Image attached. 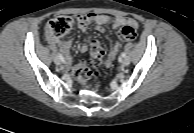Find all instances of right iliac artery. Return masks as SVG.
I'll return each instance as SVG.
<instances>
[{
	"instance_id": "82829eb1",
	"label": "right iliac artery",
	"mask_w": 194,
	"mask_h": 133,
	"mask_svg": "<svg viewBox=\"0 0 194 133\" xmlns=\"http://www.w3.org/2000/svg\"><path fill=\"white\" fill-rule=\"evenodd\" d=\"M58 57H59L62 61H64V58H63V56H62L61 53H58Z\"/></svg>"
}]
</instances>
